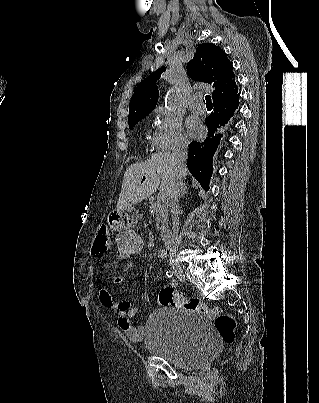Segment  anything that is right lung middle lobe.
<instances>
[{
	"label": "right lung middle lobe",
	"instance_id": "dd1d6c3e",
	"mask_svg": "<svg viewBox=\"0 0 319 403\" xmlns=\"http://www.w3.org/2000/svg\"><path fill=\"white\" fill-rule=\"evenodd\" d=\"M145 116H147V115H145ZM145 116H142V117L137 118V119L129 120V121H128V122H129V128H132L136 123H138L139 120H141V119L144 118Z\"/></svg>",
	"mask_w": 319,
	"mask_h": 403
}]
</instances>
